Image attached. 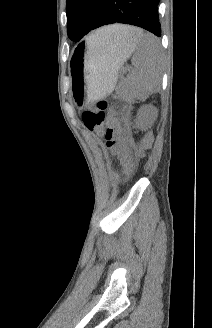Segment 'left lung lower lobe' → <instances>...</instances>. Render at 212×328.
<instances>
[{
	"mask_svg": "<svg viewBox=\"0 0 212 328\" xmlns=\"http://www.w3.org/2000/svg\"><path fill=\"white\" fill-rule=\"evenodd\" d=\"M160 0H103L91 30L113 23L142 27L161 36L158 17Z\"/></svg>",
	"mask_w": 212,
	"mask_h": 328,
	"instance_id": "1",
	"label": "left lung lower lobe"
}]
</instances>
